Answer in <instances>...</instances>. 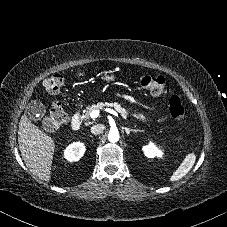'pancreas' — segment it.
<instances>
[{"instance_id": "1", "label": "pancreas", "mask_w": 227, "mask_h": 227, "mask_svg": "<svg viewBox=\"0 0 227 227\" xmlns=\"http://www.w3.org/2000/svg\"><path fill=\"white\" fill-rule=\"evenodd\" d=\"M104 107H112L114 108L116 111H118L122 116L123 118H127V116L129 115L128 111L121 107L120 104L118 103H108V102H99L97 104H94V105H91V106H88L86 108V113L83 115V117L85 119H88L90 117V113L94 110H102Z\"/></svg>"}]
</instances>
